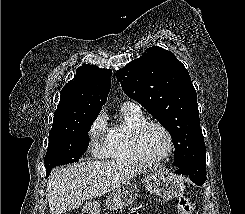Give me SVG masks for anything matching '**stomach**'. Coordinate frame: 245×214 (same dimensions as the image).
Wrapping results in <instances>:
<instances>
[{
    "mask_svg": "<svg viewBox=\"0 0 245 214\" xmlns=\"http://www.w3.org/2000/svg\"><path fill=\"white\" fill-rule=\"evenodd\" d=\"M147 190L165 200H170L182 195L185 186L183 181L163 171H156L147 175L144 179ZM138 195L137 186L128 181L120 188L112 191L106 200V206L110 210H120L132 204ZM98 205L87 203L84 211L87 214H97Z\"/></svg>",
    "mask_w": 245,
    "mask_h": 214,
    "instance_id": "stomach-1",
    "label": "stomach"
}]
</instances>
